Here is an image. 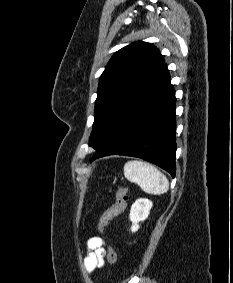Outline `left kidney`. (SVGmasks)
<instances>
[{
    "instance_id": "5707ae66",
    "label": "left kidney",
    "mask_w": 233,
    "mask_h": 283,
    "mask_svg": "<svg viewBox=\"0 0 233 283\" xmlns=\"http://www.w3.org/2000/svg\"><path fill=\"white\" fill-rule=\"evenodd\" d=\"M152 205V202L145 198L136 200L132 205L129 215L130 221L132 222V232H136L139 229V222L146 220Z\"/></svg>"
}]
</instances>
